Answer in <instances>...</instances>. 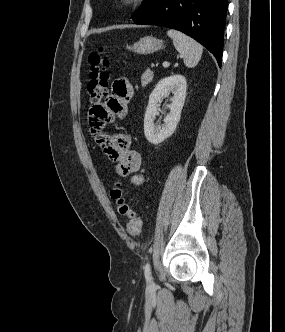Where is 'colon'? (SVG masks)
Returning a JSON list of instances; mask_svg holds the SVG:
<instances>
[{
  "mask_svg": "<svg viewBox=\"0 0 285 332\" xmlns=\"http://www.w3.org/2000/svg\"><path fill=\"white\" fill-rule=\"evenodd\" d=\"M90 73L87 84V94L91 106H96L107 95L109 82L108 68L110 61L106 56V49L100 46L96 51L89 55ZM110 198L116 204L120 215L127 218L126 229L130 236H138L142 229V219L140 215L131 208L125 201L123 190L119 181H115L110 189Z\"/></svg>",
  "mask_w": 285,
  "mask_h": 332,
  "instance_id": "1",
  "label": "colon"
}]
</instances>
